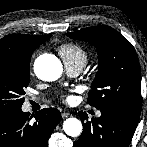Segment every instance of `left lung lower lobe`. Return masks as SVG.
<instances>
[{
  "label": "left lung lower lobe",
  "mask_w": 147,
  "mask_h": 147,
  "mask_svg": "<svg viewBox=\"0 0 147 147\" xmlns=\"http://www.w3.org/2000/svg\"><path fill=\"white\" fill-rule=\"evenodd\" d=\"M100 111L101 116L91 122H84L88 119L85 112L79 113L84 128L74 147H128L138 121L115 110Z\"/></svg>",
  "instance_id": "0a47b994"
}]
</instances>
